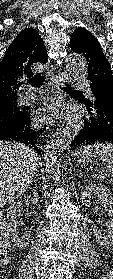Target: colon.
Returning <instances> with one entry per match:
<instances>
[{
  "instance_id": "obj_1",
  "label": "colon",
  "mask_w": 113,
  "mask_h": 279,
  "mask_svg": "<svg viewBox=\"0 0 113 279\" xmlns=\"http://www.w3.org/2000/svg\"><path fill=\"white\" fill-rule=\"evenodd\" d=\"M10 250L9 239L6 234L4 224L0 217V259L8 255Z\"/></svg>"
}]
</instances>
